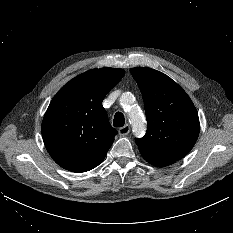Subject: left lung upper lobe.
I'll list each match as a JSON object with an SVG mask.
<instances>
[{
	"label": "left lung upper lobe",
	"instance_id": "5c2ea615",
	"mask_svg": "<svg viewBox=\"0 0 233 233\" xmlns=\"http://www.w3.org/2000/svg\"><path fill=\"white\" fill-rule=\"evenodd\" d=\"M144 101L148 129L136 139L140 153L177 161L199 135L197 110L186 92L167 75L150 68H131Z\"/></svg>",
	"mask_w": 233,
	"mask_h": 233
}]
</instances>
